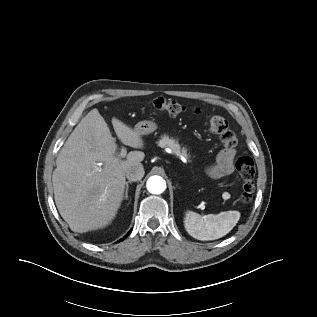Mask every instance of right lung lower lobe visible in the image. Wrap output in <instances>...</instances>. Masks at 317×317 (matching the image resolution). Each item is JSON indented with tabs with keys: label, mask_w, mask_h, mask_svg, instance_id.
Instances as JSON below:
<instances>
[{
	"label": "right lung lower lobe",
	"mask_w": 317,
	"mask_h": 317,
	"mask_svg": "<svg viewBox=\"0 0 317 317\" xmlns=\"http://www.w3.org/2000/svg\"><path fill=\"white\" fill-rule=\"evenodd\" d=\"M131 231H132V230H131ZM131 231H130L125 237H123L122 239H120L118 242L123 241V240L131 233Z\"/></svg>",
	"instance_id": "obj_1"
}]
</instances>
